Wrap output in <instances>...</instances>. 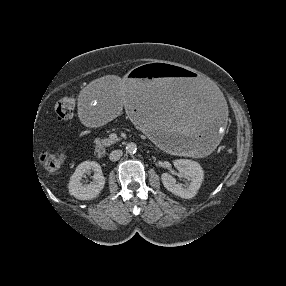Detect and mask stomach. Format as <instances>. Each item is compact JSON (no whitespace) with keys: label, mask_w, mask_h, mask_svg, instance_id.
<instances>
[{"label":"stomach","mask_w":286,"mask_h":286,"mask_svg":"<svg viewBox=\"0 0 286 286\" xmlns=\"http://www.w3.org/2000/svg\"><path fill=\"white\" fill-rule=\"evenodd\" d=\"M76 108L94 126L126 110L160 148L177 154L213 149L227 115L225 96L213 82L171 62L139 67L125 82L112 75L97 77L82 88Z\"/></svg>","instance_id":"obj_1"}]
</instances>
